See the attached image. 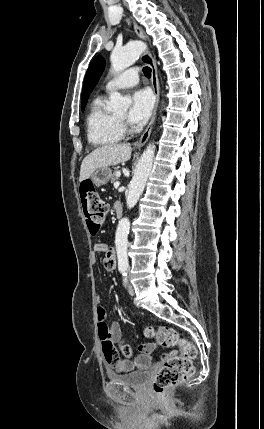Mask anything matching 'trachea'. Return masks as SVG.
Here are the masks:
<instances>
[{
	"label": "trachea",
	"instance_id": "3493384b",
	"mask_svg": "<svg viewBox=\"0 0 264 429\" xmlns=\"http://www.w3.org/2000/svg\"><path fill=\"white\" fill-rule=\"evenodd\" d=\"M143 73L146 77L150 78L151 77V68L148 66L144 67Z\"/></svg>",
	"mask_w": 264,
	"mask_h": 429
}]
</instances>
